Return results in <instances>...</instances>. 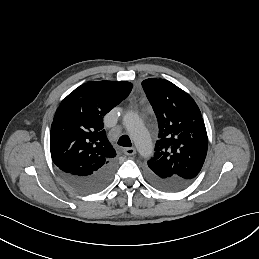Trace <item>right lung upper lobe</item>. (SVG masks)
I'll return each instance as SVG.
<instances>
[{"instance_id": "1", "label": "right lung upper lobe", "mask_w": 259, "mask_h": 259, "mask_svg": "<svg viewBox=\"0 0 259 259\" xmlns=\"http://www.w3.org/2000/svg\"><path fill=\"white\" fill-rule=\"evenodd\" d=\"M130 82H87L59 105L50 131L54 164L77 175H90L116 156L106 137L103 117L131 92Z\"/></svg>"}]
</instances>
